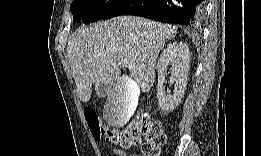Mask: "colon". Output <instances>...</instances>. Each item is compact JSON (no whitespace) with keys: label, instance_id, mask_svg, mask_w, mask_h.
<instances>
[{"label":"colon","instance_id":"1","mask_svg":"<svg viewBox=\"0 0 261 156\" xmlns=\"http://www.w3.org/2000/svg\"><path fill=\"white\" fill-rule=\"evenodd\" d=\"M85 117L94 137H103L124 149L138 145L141 136H144L146 142L142 147V153L145 156L159 155L160 148L165 142L162 124L153 120L147 111L142 112L138 119L126 128L117 131L104 128L97 119V113L92 109L85 112Z\"/></svg>","mask_w":261,"mask_h":156}]
</instances>
